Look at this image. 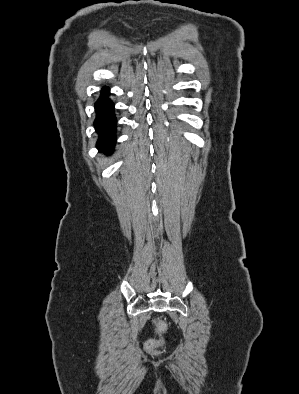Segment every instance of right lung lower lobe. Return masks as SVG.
Listing matches in <instances>:
<instances>
[{"mask_svg":"<svg viewBox=\"0 0 299 394\" xmlns=\"http://www.w3.org/2000/svg\"><path fill=\"white\" fill-rule=\"evenodd\" d=\"M109 89L103 87L101 97L95 103L96 119L94 122L99 140L97 147L99 151L110 153L115 145L116 118L114 115V104L108 98Z\"/></svg>","mask_w":299,"mask_h":394,"instance_id":"1","label":"right lung lower lobe"}]
</instances>
